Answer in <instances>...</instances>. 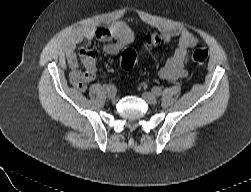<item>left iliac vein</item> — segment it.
Returning <instances> with one entry per match:
<instances>
[{"label":"left iliac vein","mask_w":251,"mask_h":192,"mask_svg":"<svg viewBox=\"0 0 251 192\" xmlns=\"http://www.w3.org/2000/svg\"><path fill=\"white\" fill-rule=\"evenodd\" d=\"M143 99L150 105L157 104V98L151 92H144L142 94Z\"/></svg>","instance_id":"1"}]
</instances>
